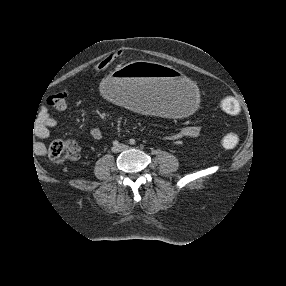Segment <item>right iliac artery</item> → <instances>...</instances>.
Instances as JSON below:
<instances>
[{"label": "right iliac artery", "instance_id": "1", "mask_svg": "<svg viewBox=\"0 0 286 286\" xmlns=\"http://www.w3.org/2000/svg\"><path fill=\"white\" fill-rule=\"evenodd\" d=\"M113 145L114 146H118L119 145V142L117 140L113 141Z\"/></svg>", "mask_w": 286, "mask_h": 286}]
</instances>
